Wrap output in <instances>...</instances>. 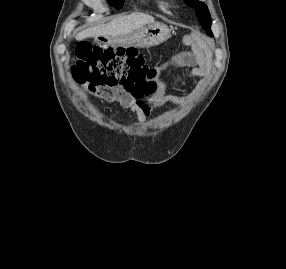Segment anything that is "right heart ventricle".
Segmentation results:
<instances>
[{
	"instance_id": "e07e8e85",
	"label": "right heart ventricle",
	"mask_w": 286,
	"mask_h": 269,
	"mask_svg": "<svg viewBox=\"0 0 286 269\" xmlns=\"http://www.w3.org/2000/svg\"><path fill=\"white\" fill-rule=\"evenodd\" d=\"M154 4L160 12L165 14L170 13L169 5L165 0H155Z\"/></svg>"
}]
</instances>
